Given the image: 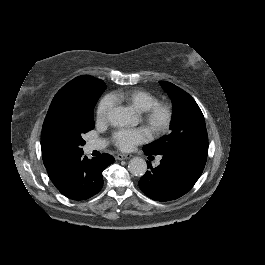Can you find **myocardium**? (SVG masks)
<instances>
[{
	"mask_svg": "<svg viewBox=\"0 0 265 265\" xmlns=\"http://www.w3.org/2000/svg\"><path fill=\"white\" fill-rule=\"evenodd\" d=\"M141 118L148 130L155 136L164 134L172 121V110L163 103H155L145 112L140 113Z\"/></svg>",
	"mask_w": 265,
	"mask_h": 265,
	"instance_id": "myocardium-1",
	"label": "myocardium"
}]
</instances>
